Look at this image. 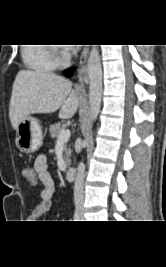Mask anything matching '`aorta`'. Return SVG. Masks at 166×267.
<instances>
[{
	"label": "aorta",
	"instance_id": "obj_1",
	"mask_svg": "<svg viewBox=\"0 0 166 267\" xmlns=\"http://www.w3.org/2000/svg\"><path fill=\"white\" fill-rule=\"evenodd\" d=\"M87 70L90 80L89 102L90 117L95 121L100 112L102 99V68L99 51L93 48L87 61Z\"/></svg>",
	"mask_w": 166,
	"mask_h": 267
}]
</instances>
